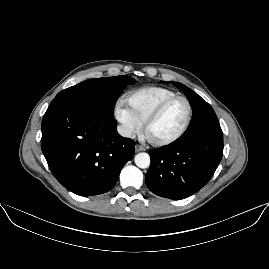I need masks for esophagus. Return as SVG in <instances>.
Wrapping results in <instances>:
<instances>
[{
    "label": "esophagus",
    "mask_w": 269,
    "mask_h": 269,
    "mask_svg": "<svg viewBox=\"0 0 269 269\" xmlns=\"http://www.w3.org/2000/svg\"><path fill=\"white\" fill-rule=\"evenodd\" d=\"M135 151H136V152L145 151V148L142 147V146H140V145H136V146H135Z\"/></svg>",
    "instance_id": "obj_1"
}]
</instances>
